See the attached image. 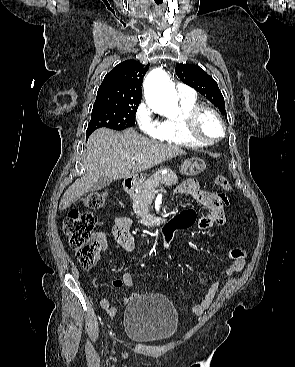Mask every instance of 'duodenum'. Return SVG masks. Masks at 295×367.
I'll list each match as a JSON object with an SVG mask.
<instances>
[{
	"instance_id": "obj_1",
	"label": "duodenum",
	"mask_w": 295,
	"mask_h": 367,
	"mask_svg": "<svg viewBox=\"0 0 295 367\" xmlns=\"http://www.w3.org/2000/svg\"><path fill=\"white\" fill-rule=\"evenodd\" d=\"M135 186V179L133 177H127L123 181V188L125 191L133 190ZM165 221V217L163 214L159 215H149L146 217H142L138 220V222L145 227H158Z\"/></svg>"
}]
</instances>
